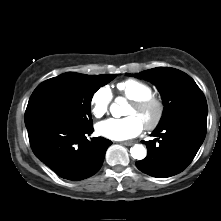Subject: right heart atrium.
I'll use <instances>...</instances> for the list:
<instances>
[{
    "label": "right heart atrium",
    "mask_w": 221,
    "mask_h": 221,
    "mask_svg": "<svg viewBox=\"0 0 221 221\" xmlns=\"http://www.w3.org/2000/svg\"><path fill=\"white\" fill-rule=\"evenodd\" d=\"M112 91L109 86L99 87L91 97V112L96 118L102 117L112 101Z\"/></svg>",
    "instance_id": "right-heart-atrium-1"
}]
</instances>
